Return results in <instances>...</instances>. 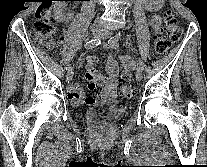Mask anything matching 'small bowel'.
I'll return each mask as SVG.
<instances>
[{"label":"small bowel","mask_w":207,"mask_h":167,"mask_svg":"<svg viewBox=\"0 0 207 167\" xmlns=\"http://www.w3.org/2000/svg\"><path fill=\"white\" fill-rule=\"evenodd\" d=\"M162 0H156L160 3ZM157 8V7H155ZM151 26L156 33H161V17L159 14H154L151 17ZM65 36L60 37V41H64ZM53 45V43H52ZM86 79L89 83V89L92 94L86 96L83 87L80 84H71L67 87V97L73 106H78L83 103L93 104L101 97H112L115 95L118 77V65L112 56L106 59V70L109 77H105L98 72L96 67L97 59L92 56H87L86 59ZM121 62L124 67L123 75L128 79L134 70V62L131 58L123 56Z\"/></svg>","instance_id":"small-bowel-1"}]
</instances>
